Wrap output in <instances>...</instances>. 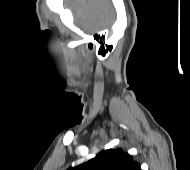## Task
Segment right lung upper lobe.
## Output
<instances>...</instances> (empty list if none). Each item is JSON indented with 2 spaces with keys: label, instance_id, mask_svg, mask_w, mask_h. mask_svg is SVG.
I'll use <instances>...</instances> for the list:
<instances>
[{
  "label": "right lung upper lobe",
  "instance_id": "right-lung-upper-lobe-1",
  "mask_svg": "<svg viewBox=\"0 0 190 170\" xmlns=\"http://www.w3.org/2000/svg\"><path fill=\"white\" fill-rule=\"evenodd\" d=\"M68 170H141V168L124 150L108 149L89 161Z\"/></svg>",
  "mask_w": 190,
  "mask_h": 170
}]
</instances>
